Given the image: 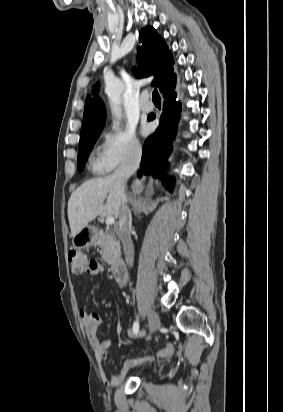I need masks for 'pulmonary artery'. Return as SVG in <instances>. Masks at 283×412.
I'll list each match as a JSON object with an SVG mask.
<instances>
[{
    "label": "pulmonary artery",
    "mask_w": 283,
    "mask_h": 412,
    "mask_svg": "<svg viewBox=\"0 0 283 412\" xmlns=\"http://www.w3.org/2000/svg\"><path fill=\"white\" fill-rule=\"evenodd\" d=\"M140 109L142 112L148 113L153 110V105L148 101L147 95H142Z\"/></svg>",
    "instance_id": "obj_1"
}]
</instances>
